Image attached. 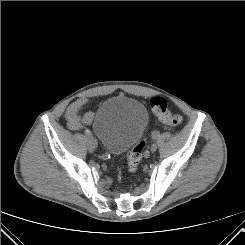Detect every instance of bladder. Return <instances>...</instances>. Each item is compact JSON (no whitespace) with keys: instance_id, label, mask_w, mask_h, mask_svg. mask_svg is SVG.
I'll use <instances>...</instances> for the list:
<instances>
[{"instance_id":"1","label":"bladder","mask_w":245,"mask_h":245,"mask_svg":"<svg viewBox=\"0 0 245 245\" xmlns=\"http://www.w3.org/2000/svg\"><path fill=\"white\" fill-rule=\"evenodd\" d=\"M147 122V111L142 103L129 97L117 96L98 107L92 129L107 150L120 154L142 137Z\"/></svg>"}]
</instances>
